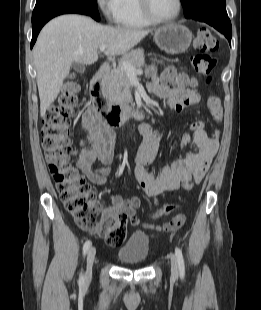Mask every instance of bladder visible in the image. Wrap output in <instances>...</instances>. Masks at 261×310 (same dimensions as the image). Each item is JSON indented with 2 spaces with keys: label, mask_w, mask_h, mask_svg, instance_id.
<instances>
[{
  "label": "bladder",
  "mask_w": 261,
  "mask_h": 310,
  "mask_svg": "<svg viewBox=\"0 0 261 310\" xmlns=\"http://www.w3.org/2000/svg\"><path fill=\"white\" fill-rule=\"evenodd\" d=\"M150 242L145 232H133L127 242L117 251V258L125 264H142L149 255Z\"/></svg>",
  "instance_id": "1"
}]
</instances>
